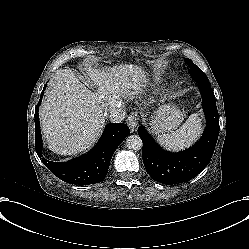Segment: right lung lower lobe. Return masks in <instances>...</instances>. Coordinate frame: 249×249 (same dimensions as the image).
<instances>
[{
    "instance_id": "98d812e1",
    "label": "right lung lower lobe",
    "mask_w": 249,
    "mask_h": 249,
    "mask_svg": "<svg viewBox=\"0 0 249 249\" xmlns=\"http://www.w3.org/2000/svg\"><path fill=\"white\" fill-rule=\"evenodd\" d=\"M46 86L44 87L45 90ZM35 109V146L36 152L44 165L58 178L70 184H94L101 182L107 175L110 160L116 148L125 137L130 134V129L123 123L107 124L102 137L95 147L85 156L73 159L66 163L52 162L42 158V139L38 107L41 103L43 92Z\"/></svg>"
}]
</instances>
